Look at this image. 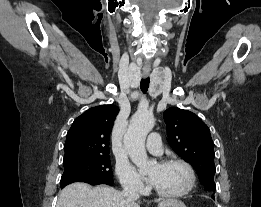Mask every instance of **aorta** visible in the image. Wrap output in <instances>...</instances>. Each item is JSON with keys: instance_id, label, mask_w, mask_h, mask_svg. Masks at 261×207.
Returning <instances> with one entry per match:
<instances>
[{"instance_id": "762f6f07", "label": "aorta", "mask_w": 261, "mask_h": 207, "mask_svg": "<svg viewBox=\"0 0 261 207\" xmlns=\"http://www.w3.org/2000/svg\"><path fill=\"white\" fill-rule=\"evenodd\" d=\"M155 119L150 112H137L133 115L129 127L124 135V146L130 159L139 168L140 172L146 171L154 164L148 159L145 140L147 134L153 129Z\"/></svg>"}]
</instances>
